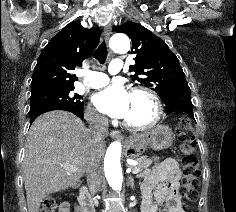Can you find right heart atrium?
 Here are the masks:
<instances>
[{"instance_id":"d8ad5b80","label":"right heart atrium","mask_w":236,"mask_h":212,"mask_svg":"<svg viewBox=\"0 0 236 212\" xmlns=\"http://www.w3.org/2000/svg\"><path fill=\"white\" fill-rule=\"evenodd\" d=\"M87 120L96 125L105 124V118L93 107L89 106L86 111Z\"/></svg>"}]
</instances>
